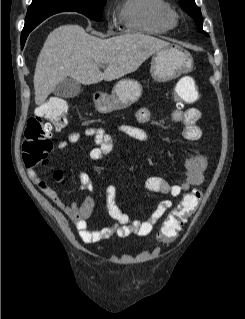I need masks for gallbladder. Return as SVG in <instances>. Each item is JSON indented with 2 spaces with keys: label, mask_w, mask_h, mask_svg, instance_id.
Listing matches in <instances>:
<instances>
[{
  "label": "gallbladder",
  "mask_w": 245,
  "mask_h": 319,
  "mask_svg": "<svg viewBox=\"0 0 245 319\" xmlns=\"http://www.w3.org/2000/svg\"><path fill=\"white\" fill-rule=\"evenodd\" d=\"M81 91V84L72 78H64L54 88L53 94L61 98H73L79 95Z\"/></svg>",
  "instance_id": "gallbladder-1"
}]
</instances>
